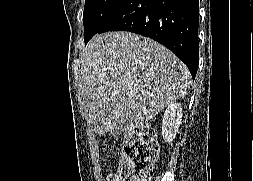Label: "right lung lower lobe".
Here are the masks:
<instances>
[{"instance_id": "obj_1", "label": "right lung lower lobe", "mask_w": 253, "mask_h": 181, "mask_svg": "<svg viewBox=\"0 0 253 181\" xmlns=\"http://www.w3.org/2000/svg\"><path fill=\"white\" fill-rule=\"evenodd\" d=\"M199 0H129L96 33L129 31L149 37L170 49L195 78L199 62Z\"/></svg>"}]
</instances>
